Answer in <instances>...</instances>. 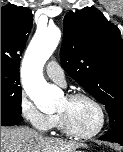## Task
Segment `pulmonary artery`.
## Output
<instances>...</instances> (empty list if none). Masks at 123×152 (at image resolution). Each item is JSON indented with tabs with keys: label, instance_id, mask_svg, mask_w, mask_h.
<instances>
[{
	"label": "pulmonary artery",
	"instance_id": "pulmonary-artery-1",
	"mask_svg": "<svg viewBox=\"0 0 123 152\" xmlns=\"http://www.w3.org/2000/svg\"><path fill=\"white\" fill-rule=\"evenodd\" d=\"M47 76L54 82L65 85V74L61 66L54 60L47 63L45 68Z\"/></svg>",
	"mask_w": 123,
	"mask_h": 152
}]
</instances>
